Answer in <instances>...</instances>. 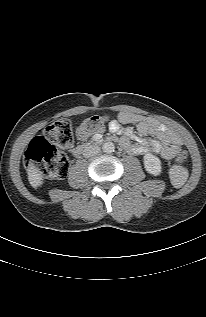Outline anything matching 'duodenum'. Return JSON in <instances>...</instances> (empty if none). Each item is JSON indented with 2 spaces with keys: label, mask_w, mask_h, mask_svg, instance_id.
<instances>
[{
  "label": "duodenum",
  "mask_w": 206,
  "mask_h": 317,
  "mask_svg": "<svg viewBox=\"0 0 206 317\" xmlns=\"http://www.w3.org/2000/svg\"><path fill=\"white\" fill-rule=\"evenodd\" d=\"M116 138L114 137H110V138H95L94 140L88 142V143H83L80 144L78 146H76L73 150L72 153L74 156H80L83 153L87 152L88 150L92 149L93 147H95L98 143H100L101 145H106L107 141H115ZM121 144H122V140H121Z\"/></svg>",
  "instance_id": "1"
}]
</instances>
